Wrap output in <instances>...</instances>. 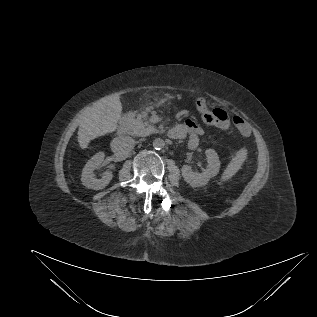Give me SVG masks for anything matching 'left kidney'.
Here are the masks:
<instances>
[{
	"mask_svg": "<svg viewBox=\"0 0 317 317\" xmlns=\"http://www.w3.org/2000/svg\"><path fill=\"white\" fill-rule=\"evenodd\" d=\"M205 154L208 160V165L201 173L193 172L191 167L188 165H184L181 168L184 180L193 187L206 185L210 178L219 173L220 160L216 151L214 149H207Z\"/></svg>",
	"mask_w": 317,
	"mask_h": 317,
	"instance_id": "1",
	"label": "left kidney"
}]
</instances>
